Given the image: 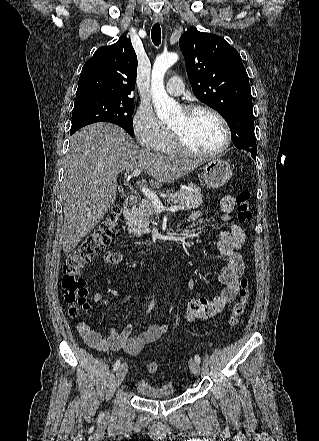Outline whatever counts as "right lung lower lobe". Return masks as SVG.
I'll return each instance as SVG.
<instances>
[{
    "instance_id": "1",
    "label": "right lung lower lobe",
    "mask_w": 319,
    "mask_h": 441,
    "mask_svg": "<svg viewBox=\"0 0 319 441\" xmlns=\"http://www.w3.org/2000/svg\"><path fill=\"white\" fill-rule=\"evenodd\" d=\"M74 132H70V134L72 135Z\"/></svg>"
}]
</instances>
